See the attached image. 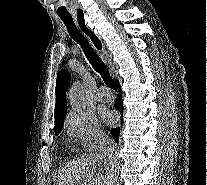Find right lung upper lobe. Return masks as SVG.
Here are the masks:
<instances>
[{"mask_svg": "<svg viewBox=\"0 0 207 185\" xmlns=\"http://www.w3.org/2000/svg\"><path fill=\"white\" fill-rule=\"evenodd\" d=\"M70 83V74L67 70L61 69L56 81V107H55V129L63 127L67 113L66 90Z\"/></svg>", "mask_w": 207, "mask_h": 185, "instance_id": "obj_1", "label": "right lung upper lobe"}]
</instances>
